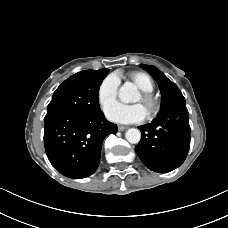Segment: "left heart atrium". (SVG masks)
Segmentation results:
<instances>
[{
    "mask_svg": "<svg viewBox=\"0 0 228 228\" xmlns=\"http://www.w3.org/2000/svg\"><path fill=\"white\" fill-rule=\"evenodd\" d=\"M108 120L119 124L140 123L145 120L147 110L142 104L127 105L114 102L105 109Z\"/></svg>",
    "mask_w": 228,
    "mask_h": 228,
    "instance_id": "39dd6f15",
    "label": "left heart atrium"
}]
</instances>
